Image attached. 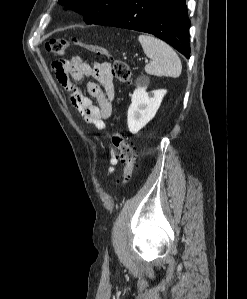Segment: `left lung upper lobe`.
Listing matches in <instances>:
<instances>
[{
	"mask_svg": "<svg viewBox=\"0 0 247 299\" xmlns=\"http://www.w3.org/2000/svg\"><path fill=\"white\" fill-rule=\"evenodd\" d=\"M121 0H59V3L69 9L84 15L87 24H93L96 20L110 12Z\"/></svg>",
	"mask_w": 247,
	"mask_h": 299,
	"instance_id": "1",
	"label": "left lung upper lobe"
}]
</instances>
